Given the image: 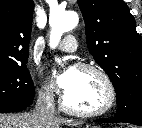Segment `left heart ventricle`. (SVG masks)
<instances>
[{"label":"left heart ventricle","mask_w":142,"mask_h":128,"mask_svg":"<svg viewBox=\"0 0 142 128\" xmlns=\"http://www.w3.org/2000/svg\"><path fill=\"white\" fill-rule=\"evenodd\" d=\"M76 71L73 87L65 93L66 102L77 109L93 111L102 108L108 98L102 78L93 72Z\"/></svg>","instance_id":"b2bd125f"}]
</instances>
